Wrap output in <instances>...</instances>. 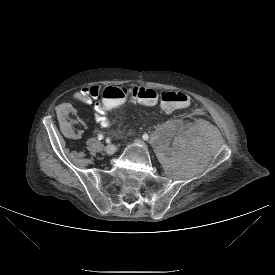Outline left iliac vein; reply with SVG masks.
<instances>
[{
    "label": "left iliac vein",
    "mask_w": 275,
    "mask_h": 275,
    "mask_svg": "<svg viewBox=\"0 0 275 275\" xmlns=\"http://www.w3.org/2000/svg\"><path fill=\"white\" fill-rule=\"evenodd\" d=\"M135 142H136L137 144H141V145L144 144V142H143L142 140H140V139H136Z\"/></svg>",
    "instance_id": "obj_1"
}]
</instances>
